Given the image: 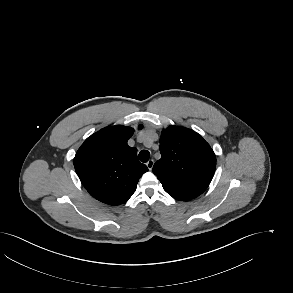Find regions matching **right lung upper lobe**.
Wrapping results in <instances>:
<instances>
[{
	"label": "right lung upper lobe",
	"mask_w": 293,
	"mask_h": 293,
	"mask_svg": "<svg viewBox=\"0 0 293 293\" xmlns=\"http://www.w3.org/2000/svg\"><path fill=\"white\" fill-rule=\"evenodd\" d=\"M133 133L131 127L109 126L87 138L77 151L75 171L95 199L114 206L125 203L148 171L139 162L137 149L127 144Z\"/></svg>",
	"instance_id": "right-lung-upper-lobe-1"
}]
</instances>
